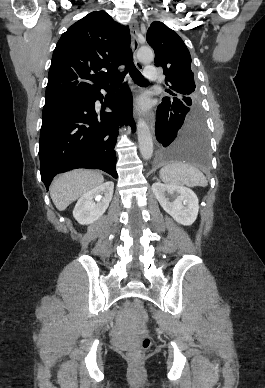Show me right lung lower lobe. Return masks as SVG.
I'll return each instance as SVG.
<instances>
[{"mask_svg":"<svg viewBox=\"0 0 265 388\" xmlns=\"http://www.w3.org/2000/svg\"><path fill=\"white\" fill-rule=\"evenodd\" d=\"M102 88L43 109L39 158L47 189L56 174L75 168L101 169L118 177L114 146L122 124L135 130L133 99L125 83L108 104L111 112L98 114L95 101H102Z\"/></svg>","mask_w":265,"mask_h":388,"instance_id":"right-lung-lower-lobe-1","label":"right lung lower lobe"}]
</instances>
